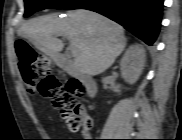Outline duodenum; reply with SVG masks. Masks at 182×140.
<instances>
[{"instance_id": "410a0bca", "label": "duodenum", "mask_w": 182, "mask_h": 140, "mask_svg": "<svg viewBox=\"0 0 182 140\" xmlns=\"http://www.w3.org/2000/svg\"><path fill=\"white\" fill-rule=\"evenodd\" d=\"M51 56H57L56 53H51ZM56 63L63 68L64 70H66L67 72L76 75L80 78V80L83 82L85 89H86V93L89 97H93L96 94L97 91V85L95 80L90 77L87 74L82 73L81 71H79L72 59L70 58V56L68 55H60L56 57Z\"/></svg>"}]
</instances>
